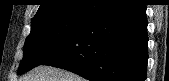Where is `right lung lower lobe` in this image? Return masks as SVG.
<instances>
[{"label":"right lung lower lobe","mask_w":169,"mask_h":81,"mask_svg":"<svg viewBox=\"0 0 169 81\" xmlns=\"http://www.w3.org/2000/svg\"><path fill=\"white\" fill-rule=\"evenodd\" d=\"M146 5L120 0L89 18L40 65L90 81H145L148 60Z\"/></svg>","instance_id":"98d812e1"}]
</instances>
